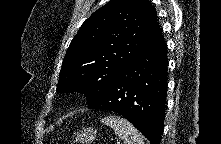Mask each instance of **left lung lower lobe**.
<instances>
[{"label":"left lung lower lobe","mask_w":221,"mask_h":144,"mask_svg":"<svg viewBox=\"0 0 221 144\" xmlns=\"http://www.w3.org/2000/svg\"><path fill=\"white\" fill-rule=\"evenodd\" d=\"M167 45L159 29L141 52L114 78L90 109L114 111L150 142L160 144L167 93Z\"/></svg>","instance_id":"1"}]
</instances>
